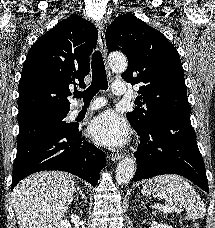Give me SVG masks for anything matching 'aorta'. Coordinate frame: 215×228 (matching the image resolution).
Returning a JSON list of instances; mask_svg holds the SVG:
<instances>
[{"label": "aorta", "instance_id": "762f6f07", "mask_svg": "<svg viewBox=\"0 0 215 228\" xmlns=\"http://www.w3.org/2000/svg\"><path fill=\"white\" fill-rule=\"evenodd\" d=\"M109 66L115 68V70H121V72H123V70H126L128 66L126 56H123V54H111V56H109ZM135 172V158H125V160L117 166L115 178L118 184H128L133 176H135Z\"/></svg>", "mask_w": 215, "mask_h": 228}]
</instances>
